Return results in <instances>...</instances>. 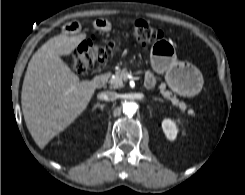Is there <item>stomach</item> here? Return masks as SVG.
I'll list each match as a JSON object with an SVG mask.
<instances>
[{
  "label": "stomach",
  "instance_id": "1",
  "mask_svg": "<svg viewBox=\"0 0 245 195\" xmlns=\"http://www.w3.org/2000/svg\"><path fill=\"white\" fill-rule=\"evenodd\" d=\"M151 65L157 73L165 74L167 85L177 94L192 97L203 86L200 71L193 65L178 61L174 45L167 40H159L151 47Z\"/></svg>",
  "mask_w": 245,
  "mask_h": 195
}]
</instances>
